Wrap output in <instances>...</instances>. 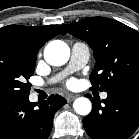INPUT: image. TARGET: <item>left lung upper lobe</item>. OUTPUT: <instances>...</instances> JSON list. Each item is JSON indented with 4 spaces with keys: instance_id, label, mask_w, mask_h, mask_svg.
I'll return each mask as SVG.
<instances>
[{
    "instance_id": "obj_1",
    "label": "left lung upper lobe",
    "mask_w": 139,
    "mask_h": 139,
    "mask_svg": "<svg viewBox=\"0 0 139 139\" xmlns=\"http://www.w3.org/2000/svg\"><path fill=\"white\" fill-rule=\"evenodd\" d=\"M62 28L93 49L96 64L90 75L91 89L110 92L139 79V33L136 30L105 17H88Z\"/></svg>"
}]
</instances>
